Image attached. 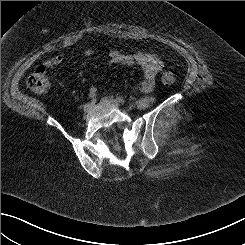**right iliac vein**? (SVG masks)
<instances>
[{
  "label": "right iliac vein",
  "mask_w": 245,
  "mask_h": 245,
  "mask_svg": "<svg viewBox=\"0 0 245 245\" xmlns=\"http://www.w3.org/2000/svg\"><path fill=\"white\" fill-rule=\"evenodd\" d=\"M91 108H92V104H91V103H87V104L84 105L83 111H84L85 113H87V112L90 111Z\"/></svg>",
  "instance_id": "1"
}]
</instances>
